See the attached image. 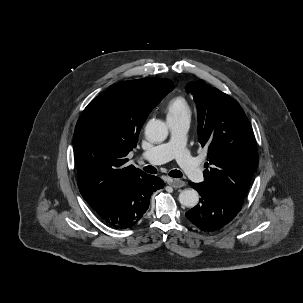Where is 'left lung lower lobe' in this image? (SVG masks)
<instances>
[{"label": "left lung lower lobe", "mask_w": 303, "mask_h": 303, "mask_svg": "<svg viewBox=\"0 0 303 303\" xmlns=\"http://www.w3.org/2000/svg\"><path fill=\"white\" fill-rule=\"evenodd\" d=\"M189 185L199 192L201 199L186 213V217L201 230L223 227L241 210L243 202L222 189L208 186L205 182H190Z\"/></svg>", "instance_id": "1"}]
</instances>
